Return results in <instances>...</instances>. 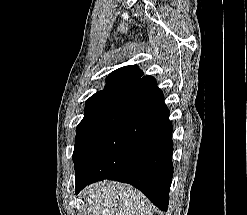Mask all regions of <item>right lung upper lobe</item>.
I'll list each match as a JSON object with an SVG mask.
<instances>
[{
  "mask_svg": "<svg viewBox=\"0 0 247 215\" xmlns=\"http://www.w3.org/2000/svg\"><path fill=\"white\" fill-rule=\"evenodd\" d=\"M142 75V71L136 65L119 68L107 77V85L103 91L114 89L126 90L141 80Z\"/></svg>",
  "mask_w": 247,
  "mask_h": 215,
  "instance_id": "obj_1",
  "label": "right lung upper lobe"
}]
</instances>
